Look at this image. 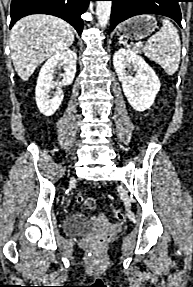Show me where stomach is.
Instances as JSON below:
<instances>
[{"mask_svg": "<svg viewBox=\"0 0 193 287\" xmlns=\"http://www.w3.org/2000/svg\"><path fill=\"white\" fill-rule=\"evenodd\" d=\"M157 28V21L151 15L133 17L118 27V34L126 39L139 40L149 36Z\"/></svg>", "mask_w": 193, "mask_h": 287, "instance_id": "stomach-1", "label": "stomach"}]
</instances>
